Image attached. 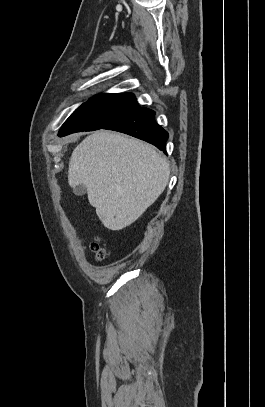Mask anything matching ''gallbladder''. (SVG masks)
<instances>
[{
	"label": "gallbladder",
	"instance_id": "gallbladder-1",
	"mask_svg": "<svg viewBox=\"0 0 265 407\" xmlns=\"http://www.w3.org/2000/svg\"><path fill=\"white\" fill-rule=\"evenodd\" d=\"M73 193L77 196H83L86 194V187L80 184L73 188Z\"/></svg>",
	"mask_w": 265,
	"mask_h": 407
}]
</instances>
